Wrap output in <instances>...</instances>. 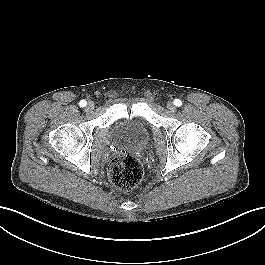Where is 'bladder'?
Wrapping results in <instances>:
<instances>
[{
    "label": "bladder",
    "instance_id": "31cf9c89",
    "mask_svg": "<svg viewBox=\"0 0 265 265\" xmlns=\"http://www.w3.org/2000/svg\"><path fill=\"white\" fill-rule=\"evenodd\" d=\"M117 141L123 145H143L149 139V129L142 120H125L112 128Z\"/></svg>",
    "mask_w": 265,
    "mask_h": 265
}]
</instances>
